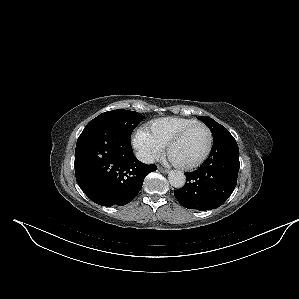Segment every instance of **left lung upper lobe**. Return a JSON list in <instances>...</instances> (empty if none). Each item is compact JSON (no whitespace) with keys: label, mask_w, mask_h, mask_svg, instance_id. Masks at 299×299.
<instances>
[{"label":"left lung upper lobe","mask_w":299,"mask_h":299,"mask_svg":"<svg viewBox=\"0 0 299 299\" xmlns=\"http://www.w3.org/2000/svg\"><path fill=\"white\" fill-rule=\"evenodd\" d=\"M201 121H203L211 130L213 136L219 134L220 132L227 131V129L221 124L217 123L215 120L209 117H198Z\"/></svg>","instance_id":"1"}]
</instances>
